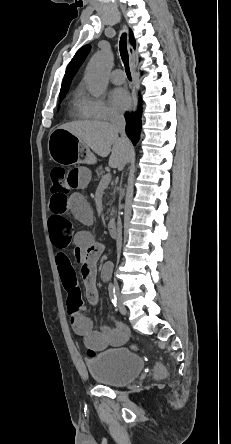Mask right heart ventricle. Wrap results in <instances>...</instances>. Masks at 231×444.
<instances>
[{
  "label": "right heart ventricle",
  "instance_id": "right-heart-ventricle-1",
  "mask_svg": "<svg viewBox=\"0 0 231 444\" xmlns=\"http://www.w3.org/2000/svg\"><path fill=\"white\" fill-rule=\"evenodd\" d=\"M72 111L73 114L78 118L82 119L89 118L82 109L81 98L79 97L78 94L74 98Z\"/></svg>",
  "mask_w": 231,
  "mask_h": 444
}]
</instances>
